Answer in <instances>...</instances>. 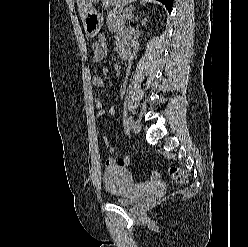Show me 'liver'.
I'll return each mask as SVG.
<instances>
[{"mask_svg": "<svg viewBox=\"0 0 248 247\" xmlns=\"http://www.w3.org/2000/svg\"><path fill=\"white\" fill-rule=\"evenodd\" d=\"M95 1L97 0H76L81 19L83 18L84 13L86 12L87 6L91 5Z\"/></svg>", "mask_w": 248, "mask_h": 247, "instance_id": "liver-1", "label": "liver"}]
</instances>
